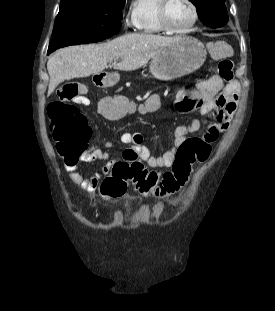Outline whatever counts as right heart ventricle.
Masks as SVG:
<instances>
[{
  "mask_svg": "<svg viewBox=\"0 0 275 311\" xmlns=\"http://www.w3.org/2000/svg\"><path fill=\"white\" fill-rule=\"evenodd\" d=\"M160 0H134L131 7V17L136 29L143 34H161L158 20V6Z\"/></svg>",
  "mask_w": 275,
  "mask_h": 311,
  "instance_id": "1",
  "label": "right heart ventricle"
}]
</instances>
